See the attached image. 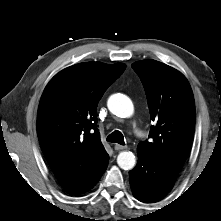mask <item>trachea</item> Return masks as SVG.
Here are the masks:
<instances>
[{
    "mask_svg": "<svg viewBox=\"0 0 221 221\" xmlns=\"http://www.w3.org/2000/svg\"><path fill=\"white\" fill-rule=\"evenodd\" d=\"M107 141L111 142V143H118L120 145H125L124 142V136L123 134L118 131L115 130L114 132H112L108 137H107Z\"/></svg>",
    "mask_w": 221,
    "mask_h": 221,
    "instance_id": "3493384b",
    "label": "trachea"
}]
</instances>
